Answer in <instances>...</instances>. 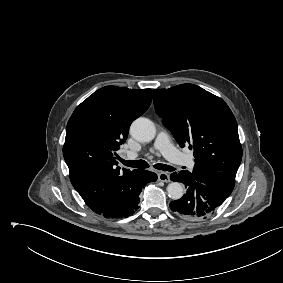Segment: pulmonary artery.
<instances>
[{"label": "pulmonary artery", "instance_id": "1", "mask_svg": "<svg viewBox=\"0 0 283 283\" xmlns=\"http://www.w3.org/2000/svg\"><path fill=\"white\" fill-rule=\"evenodd\" d=\"M154 148L161 152V154L168 159L169 161L186 166L188 169L192 170L194 167L193 158L189 155L181 153L177 150L171 143L169 135L166 131H160L156 137L154 142ZM137 157V153L132 151H127L125 153V158L128 160L135 159Z\"/></svg>", "mask_w": 283, "mask_h": 283}]
</instances>
